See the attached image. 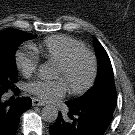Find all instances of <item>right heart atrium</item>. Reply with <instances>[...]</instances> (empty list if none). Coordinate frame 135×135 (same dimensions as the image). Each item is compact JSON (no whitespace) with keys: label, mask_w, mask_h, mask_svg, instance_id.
<instances>
[{"label":"right heart atrium","mask_w":135,"mask_h":135,"mask_svg":"<svg viewBox=\"0 0 135 135\" xmlns=\"http://www.w3.org/2000/svg\"><path fill=\"white\" fill-rule=\"evenodd\" d=\"M15 63L25 77H30L37 71L40 58L36 52L18 51L15 55Z\"/></svg>","instance_id":"right-heart-atrium-1"}]
</instances>
